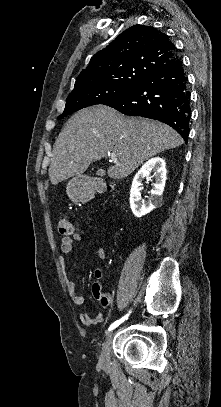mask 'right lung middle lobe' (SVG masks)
<instances>
[{
	"label": "right lung middle lobe",
	"instance_id": "dd1d6c3e",
	"mask_svg": "<svg viewBox=\"0 0 221 407\" xmlns=\"http://www.w3.org/2000/svg\"><path fill=\"white\" fill-rule=\"evenodd\" d=\"M134 86L135 85L100 84L72 91L66 99L63 114L58 118H63L70 113L88 106L104 104L107 101L116 99L127 93Z\"/></svg>",
	"mask_w": 221,
	"mask_h": 407
}]
</instances>
